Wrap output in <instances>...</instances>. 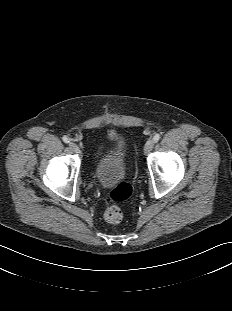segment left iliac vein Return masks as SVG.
<instances>
[{"label": "left iliac vein", "mask_w": 232, "mask_h": 311, "mask_svg": "<svg viewBox=\"0 0 232 311\" xmlns=\"http://www.w3.org/2000/svg\"><path fill=\"white\" fill-rule=\"evenodd\" d=\"M154 140H148L144 146V152L149 153L154 147Z\"/></svg>", "instance_id": "1"}]
</instances>
